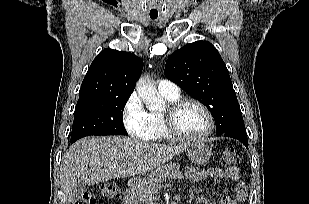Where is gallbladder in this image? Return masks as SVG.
I'll return each mask as SVG.
<instances>
[{
	"label": "gallbladder",
	"mask_w": 309,
	"mask_h": 204,
	"mask_svg": "<svg viewBox=\"0 0 309 204\" xmlns=\"http://www.w3.org/2000/svg\"><path fill=\"white\" fill-rule=\"evenodd\" d=\"M87 190V185L83 180H77L71 192V200L78 201Z\"/></svg>",
	"instance_id": "1"
}]
</instances>
